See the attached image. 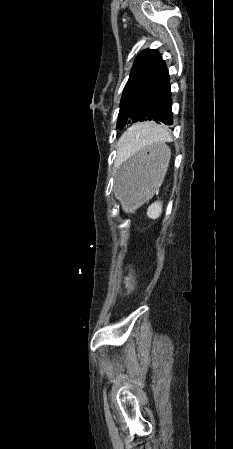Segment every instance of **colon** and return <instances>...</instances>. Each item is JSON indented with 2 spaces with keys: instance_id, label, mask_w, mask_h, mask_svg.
<instances>
[{
  "instance_id": "colon-1",
  "label": "colon",
  "mask_w": 233,
  "mask_h": 449,
  "mask_svg": "<svg viewBox=\"0 0 233 449\" xmlns=\"http://www.w3.org/2000/svg\"><path fill=\"white\" fill-rule=\"evenodd\" d=\"M124 285L126 287V289L130 292L133 293L134 291V281L131 275H127L124 277Z\"/></svg>"
}]
</instances>
